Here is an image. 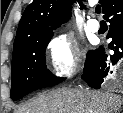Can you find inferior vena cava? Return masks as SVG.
I'll return each instance as SVG.
<instances>
[{
    "instance_id": "602c4592",
    "label": "inferior vena cava",
    "mask_w": 123,
    "mask_h": 113,
    "mask_svg": "<svg viewBox=\"0 0 123 113\" xmlns=\"http://www.w3.org/2000/svg\"><path fill=\"white\" fill-rule=\"evenodd\" d=\"M83 92H86L88 89H86V88H82L81 89Z\"/></svg>"
}]
</instances>
